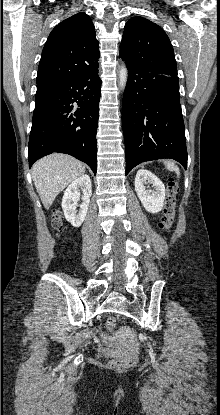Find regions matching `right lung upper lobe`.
<instances>
[{
  "label": "right lung upper lobe",
  "mask_w": 220,
  "mask_h": 415,
  "mask_svg": "<svg viewBox=\"0 0 220 415\" xmlns=\"http://www.w3.org/2000/svg\"><path fill=\"white\" fill-rule=\"evenodd\" d=\"M99 43L90 17L77 13L50 33L38 67L37 87L55 86L99 67Z\"/></svg>",
  "instance_id": "1"
}]
</instances>
